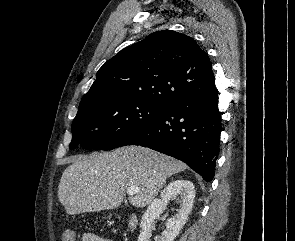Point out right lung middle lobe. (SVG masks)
<instances>
[{"mask_svg": "<svg viewBox=\"0 0 295 241\" xmlns=\"http://www.w3.org/2000/svg\"><path fill=\"white\" fill-rule=\"evenodd\" d=\"M162 106L123 98L113 91L82 98L72 123L70 149L112 150L122 140L145 125L162 111Z\"/></svg>", "mask_w": 295, "mask_h": 241, "instance_id": "dd1d6c3e", "label": "right lung middle lobe"}]
</instances>
